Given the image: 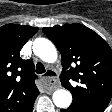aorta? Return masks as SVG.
<instances>
[{"label":"aorta","mask_w":112,"mask_h":112,"mask_svg":"<svg viewBox=\"0 0 112 112\" xmlns=\"http://www.w3.org/2000/svg\"><path fill=\"white\" fill-rule=\"evenodd\" d=\"M33 52L47 63H54L58 56L54 44L46 38L35 39L33 43ZM52 99L57 107L67 108L72 102V95L68 90L58 89L53 93Z\"/></svg>","instance_id":"762f6f07"}]
</instances>
